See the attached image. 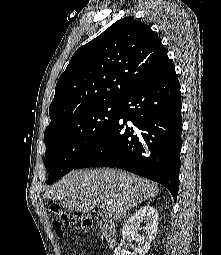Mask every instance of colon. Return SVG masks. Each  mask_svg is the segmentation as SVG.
Listing matches in <instances>:
<instances>
[{"label": "colon", "mask_w": 221, "mask_h": 255, "mask_svg": "<svg viewBox=\"0 0 221 255\" xmlns=\"http://www.w3.org/2000/svg\"><path fill=\"white\" fill-rule=\"evenodd\" d=\"M55 212L56 208H54ZM91 220L88 217L75 215L72 213H57L55 220L53 221V228L59 237L64 235V227L72 228H88L91 226Z\"/></svg>", "instance_id": "obj_1"}]
</instances>
